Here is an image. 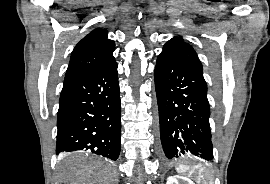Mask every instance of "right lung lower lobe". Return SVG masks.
<instances>
[{
	"label": "right lung lower lobe",
	"instance_id": "obj_1",
	"mask_svg": "<svg viewBox=\"0 0 270 184\" xmlns=\"http://www.w3.org/2000/svg\"><path fill=\"white\" fill-rule=\"evenodd\" d=\"M116 62L66 77L59 100L56 154H120L121 102Z\"/></svg>",
	"mask_w": 270,
	"mask_h": 184
}]
</instances>
